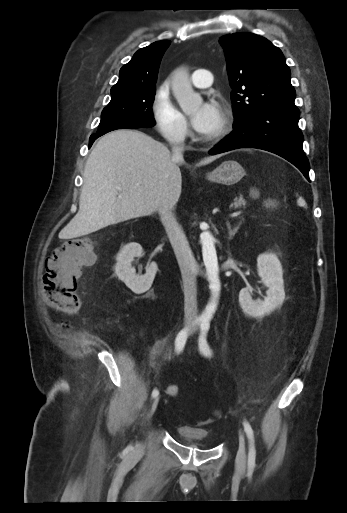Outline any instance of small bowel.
<instances>
[{
    "label": "small bowel",
    "instance_id": "small-bowel-1",
    "mask_svg": "<svg viewBox=\"0 0 347 513\" xmlns=\"http://www.w3.org/2000/svg\"><path fill=\"white\" fill-rule=\"evenodd\" d=\"M162 350V343H156L152 347L149 348V353L152 357H156L160 354Z\"/></svg>",
    "mask_w": 347,
    "mask_h": 513
}]
</instances>
